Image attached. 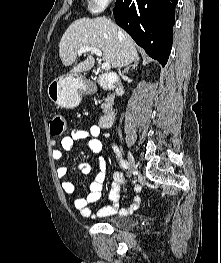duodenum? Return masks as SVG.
I'll use <instances>...</instances> for the list:
<instances>
[{
	"instance_id": "1",
	"label": "duodenum",
	"mask_w": 221,
	"mask_h": 263,
	"mask_svg": "<svg viewBox=\"0 0 221 263\" xmlns=\"http://www.w3.org/2000/svg\"><path fill=\"white\" fill-rule=\"evenodd\" d=\"M98 79L101 85L105 88L115 89L117 87L118 79L117 76L113 73L99 74ZM113 116H114V104L112 101H107L104 108L103 116L101 118V125L105 128L109 127L112 122Z\"/></svg>"
}]
</instances>
